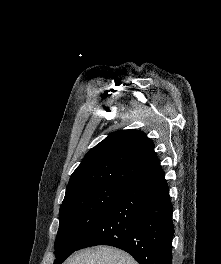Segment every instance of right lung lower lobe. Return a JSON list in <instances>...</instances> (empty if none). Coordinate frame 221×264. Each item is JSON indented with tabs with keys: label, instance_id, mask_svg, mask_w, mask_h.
<instances>
[{
	"label": "right lung lower lobe",
	"instance_id": "1",
	"mask_svg": "<svg viewBox=\"0 0 221 264\" xmlns=\"http://www.w3.org/2000/svg\"><path fill=\"white\" fill-rule=\"evenodd\" d=\"M173 207L159 169L128 183L110 211L77 250L110 245L139 264H171Z\"/></svg>",
	"mask_w": 221,
	"mask_h": 264
}]
</instances>
